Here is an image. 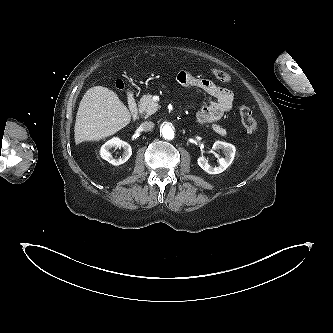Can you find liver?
<instances>
[{"instance_id":"liver-1","label":"liver","mask_w":333,"mask_h":333,"mask_svg":"<svg viewBox=\"0 0 333 333\" xmlns=\"http://www.w3.org/2000/svg\"><path fill=\"white\" fill-rule=\"evenodd\" d=\"M130 121L128 108L114 91L94 86L86 91L79 104L74 127L75 143L111 136Z\"/></svg>"}]
</instances>
